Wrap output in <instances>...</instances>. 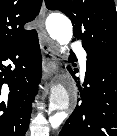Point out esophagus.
I'll return each mask as SVG.
<instances>
[{
	"label": "esophagus",
	"mask_w": 117,
	"mask_h": 136,
	"mask_svg": "<svg viewBox=\"0 0 117 136\" xmlns=\"http://www.w3.org/2000/svg\"><path fill=\"white\" fill-rule=\"evenodd\" d=\"M45 16L46 7L45 3L43 2L38 15V36L40 48L43 55V79L47 80L53 77V75L58 71V67L56 58V47L45 30Z\"/></svg>",
	"instance_id": "obj_1"
}]
</instances>
